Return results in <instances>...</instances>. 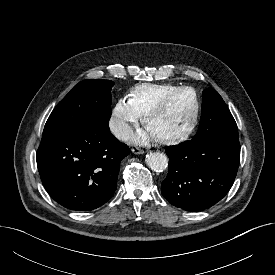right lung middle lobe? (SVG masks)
Returning <instances> with one entry per match:
<instances>
[{"instance_id":"1","label":"right lung middle lobe","mask_w":275,"mask_h":275,"mask_svg":"<svg viewBox=\"0 0 275 275\" xmlns=\"http://www.w3.org/2000/svg\"><path fill=\"white\" fill-rule=\"evenodd\" d=\"M111 80H84L78 83L55 107L43 134L48 132L80 131L111 117Z\"/></svg>"}]
</instances>
